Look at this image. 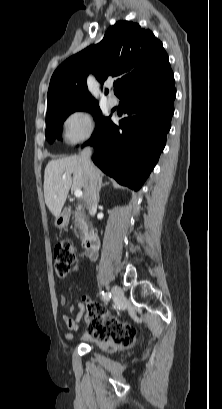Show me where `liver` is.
<instances>
[{
	"label": "liver",
	"instance_id": "obj_1",
	"mask_svg": "<svg viewBox=\"0 0 222 409\" xmlns=\"http://www.w3.org/2000/svg\"><path fill=\"white\" fill-rule=\"evenodd\" d=\"M96 170L100 176V170ZM85 181L86 175L80 156L72 155L48 162L44 172V198L55 217L61 213L70 188L81 190Z\"/></svg>",
	"mask_w": 222,
	"mask_h": 409
}]
</instances>
